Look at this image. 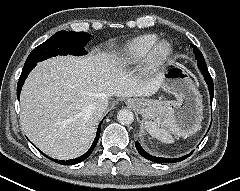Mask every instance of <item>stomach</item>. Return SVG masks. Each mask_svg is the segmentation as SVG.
<instances>
[{
	"label": "stomach",
	"instance_id": "obj_1",
	"mask_svg": "<svg viewBox=\"0 0 240 191\" xmlns=\"http://www.w3.org/2000/svg\"><path fill=\"white\" fill-rule=\"evenodd\" d=\"M161 88L176 100L134 98L129 99L128 103L142 115L145 122L162 115L170 118L181 135L193 134L200 128L203 104L202 96L192 79L181 66L171 64L162 73Z\"/></svg>",
	"mask_w": 240,
	"mask_h": 191
}]
</instances>
